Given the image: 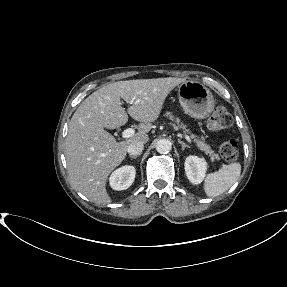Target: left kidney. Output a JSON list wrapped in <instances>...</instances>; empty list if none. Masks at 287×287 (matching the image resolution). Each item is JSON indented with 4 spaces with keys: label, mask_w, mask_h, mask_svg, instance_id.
<instances>
[{
    "label": "left kidney",
    "mask_w": 287,
    "mask_h": 287,
    "mask_svg": "<svg viewBox=\"0 0 287 287\" xmlns=\"http://www.w3.org/2000/svg\"><path fill=\"white\" fill-rule=\"evenodd\" d=\"M185 172L189 181L193 184H200L207 170V162L197 156H188L185 160Z\"/></svg>",
    "instance_id": "5707ae66"
}]
</instances>
